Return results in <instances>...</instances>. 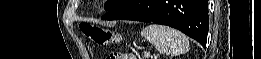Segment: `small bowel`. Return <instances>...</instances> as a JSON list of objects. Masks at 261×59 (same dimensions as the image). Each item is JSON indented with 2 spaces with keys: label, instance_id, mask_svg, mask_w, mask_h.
Instances as JSON below:
<instances>
[{
  "label": "small bowel",
  "instance_id": "1",
  "mask_svg": "<svg viewBox=\"0 0 261 59\" xmlns=\"http://www.w3.org/2000/svg\"><path fill=\"white\" fill-rule=\"evenodd\" d=\"M125 57H126V54H121L120 55V59H125Z\"/></svg>",
  "mask_w": 261,
  "mask_h": 59
}]
</instances>
